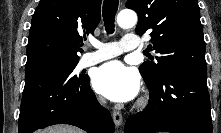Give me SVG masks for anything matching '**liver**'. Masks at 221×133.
<instances>
[{
	"label": "liver",
	"instance_id": "1",
	"mask_svg": "<svg viewBox=\"0 0 221 133\" xmlns=\"http://www.w3.org/2000/svg\"><path fill=\"white\" fill-rule=\"evenodd\" d=\"M40 133H83L82 130L76 129L69 125H55L42 130Z\"/></svg>",
	"mask_w": 221,
	"mask_h": 133
}]
</instances>
